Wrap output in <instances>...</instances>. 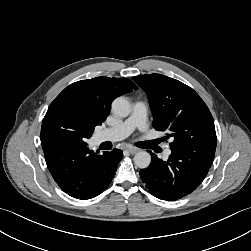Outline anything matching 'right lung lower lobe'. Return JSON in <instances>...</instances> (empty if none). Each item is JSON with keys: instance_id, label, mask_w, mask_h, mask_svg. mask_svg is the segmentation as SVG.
Returning <instances> with one entry per match:
<instances>
[{"instance_id": "right-lung-lower-lobe-1", "label": "right lung lower lobe", "mask_w": 251, "mask_h": 251, "mask_svg": "<svg viewBox=\"0 0 251 251\" xmlns=\"http://www.w3.org/2000/svg\"><path fill=\"white\" fill-rule=\"evenodd\" d=\"M42 148L56 183L68 195L82 200L98 196L108 187L123 157L121 150L99 155L87 145L67 142H45Z\"/></svg>"}]
</instances>
